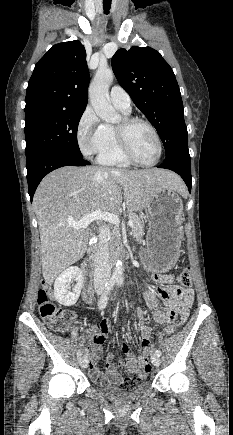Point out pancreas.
<instances>
[{"label": "pancreas", "instance_id": "1", "mask_svg": "<svg viewBox=\"0 0 233 435\" xmlns=\"http://www.w3.org/2000/svg\"><path fill=\"white\" fill-rule=\"evenodd\" d=\"M128 218L134 221V224L132 226V233L134 238H136L138 241H141L143 236V222L141 220V217L136 214H129ZM111 235V241L113 242L114 246L118 247L121 244V235L119 230L117 228H114Z\"/></svg>", "mask_w": 233, "mask_h": 435}]
</instances>
